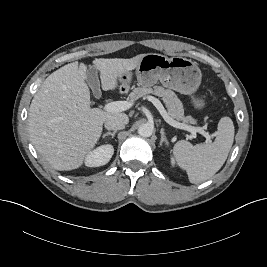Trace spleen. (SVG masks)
<instances>
[{
	"mask_svg": "<svg viewBox=\"0 0 267 267\" xmlns=\"http://www.w3.org/2000/svg\"><path fill=\"white\" fill-rule=\"evenodd\" d=\"M212 144L192 145L181 140L173 147L174 159L185 170L191 183L208 180L225 163L234 141V125L230 117H222Z\"/></svg>",
	"mask_w": 267,
	"mask_h": 267,
	"instance_id": "spleen-1",
	"label": "spleen"
}]
</instances>
